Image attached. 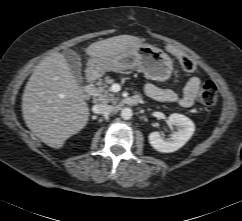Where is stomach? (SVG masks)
Wrapping results in <instances>:
<instances>
[{
	"mask_svg": "<svg viewBox=\"0 0 242 221\" xmlns=\"http://www.w3.org/2000/svg\"><path fill=\"white\" fill-rule=\"evenodd\" d=\"M137 68L148 79L166 81L173 71V61L163 50L141 44L117 57H92L87 64V73L99 78L109 70L122 71Z\"/></svg>",
	"mask_w": 242,
	"mask_h": 221,
	"instance_id": "0dacf381",
	"label": "stomach"
}]
</instances>
